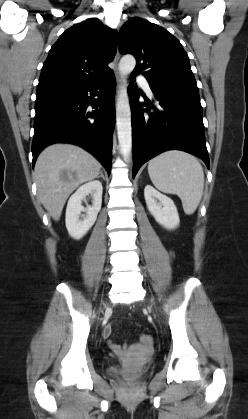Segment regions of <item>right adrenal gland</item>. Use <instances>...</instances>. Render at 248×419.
Listing matches in <instances>:
<instances>
[{"label":"right adrenal gland","mask_w":248,"mask_h":419,"mask_svg":"<svg viewBox=\"0 0 248 419\" xmlns=\"http://www.w3.org/2000/svg\"><path fill=\"white\" fill-rule=\"evenodd\" d=\"M100 177H102L103 179H105L102 171L100 172V175L98 176V178H100Z\"/></svg>","instance_id":"obj_1"}]
</instances>
